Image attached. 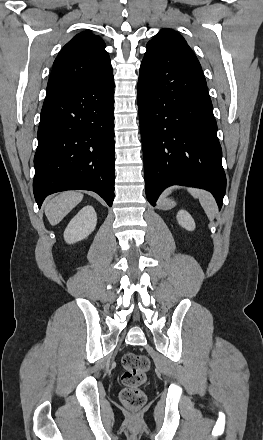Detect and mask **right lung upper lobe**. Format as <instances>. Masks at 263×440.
Returning <instances> with one entry per match:
<instances>
[{
    "label": "right lung upper lobe",
    "instance_id": "cb5924a9",
    "mask_svg": "<svg viewBox=\"0 0 263 440\" xmlns=\"http://www.w3.org/2000/svg\"><path fill=\"white\" fill-rule=\"evenodd\" d=\"M103 40L90 32L77 34L54 61L46 98L113 73Z\"/></svg>",
    "mask_w": 263,
    "mask_h": 440
}]
</instances>
